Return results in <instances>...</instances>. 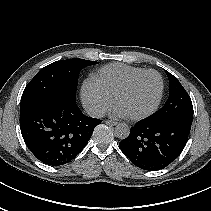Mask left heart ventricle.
I'll return each mask as SVG.
<instances>
[{
	"label": "left heart ventricle",
	"mask_w": 211,
	"mask_h": 211,
	"mask_svg": "<svg viewBox=\"0 0 211 211\" xmlns=\"http://www.w3.org/2000/svg\"><path fill=\"white\" fill-rule=\"evenodd\" d=\"M160 90V80L154 73H148L139 78L133 86L120 95L115 103L128 116L138 115L148 111L156 102Z\"/></svg>",
	"instance_id": "1"
}]
</instances>
